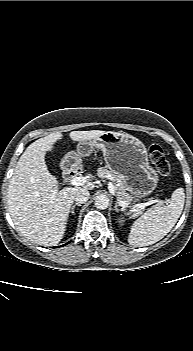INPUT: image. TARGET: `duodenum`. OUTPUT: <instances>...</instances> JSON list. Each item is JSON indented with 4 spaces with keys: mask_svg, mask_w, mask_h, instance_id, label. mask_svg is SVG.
I'll list each match as a JSON object with an SVG mask.
<instances>
[{
    "mask_svg": "<svg viewBox=\"0 0 193 351\" xmlns=\"http://www.w3.org/2000/svg\"><path fill=\"white\" fill-rule=\"evenodd\" d=\"M64 176L66 179H72L80 174V168L74 159H66L63 168Z\"/></svg>",
    "mask_w": 193,
    "mask_h": 351,
    "instance_id": "410a0bca",
    "label": "duodenum"
}]
</instances>
